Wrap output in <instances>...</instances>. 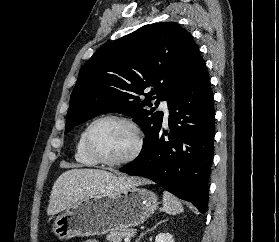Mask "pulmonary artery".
I'll return each mask as SVG.
<instances>
[{
  "instance_id": "pulmonary-artery-1",
  "label": "pulmonary artery",
  "mask_w": 279,
  "mask_h": 242,
  "mask_svg": "<svg viewBox=\"0 0 279 242\" xmlns=\"http://www.w3.org/2000/svg\"><path fill=\"white\" fill-rule=\"evenodd\" d=\"M159 109L163 112L164 119L167 120L170 117V111L167 101H162L159 105Z\"/></svg>"
}]
</instances>
